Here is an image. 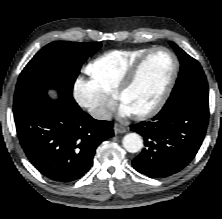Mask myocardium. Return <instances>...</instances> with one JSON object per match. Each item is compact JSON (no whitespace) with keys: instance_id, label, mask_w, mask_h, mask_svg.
I'll return each mask as SVG.
<instances>
[{"instance_id":"myocardium-1","label":"myocardium","mask_w":222,"mask_h":219,"mask_svg":"<svg viewBox=\"0 0 222 219\" xmlns=\"http://www.w3.org/2000/svg\"><path fill=\"white\" fill-rule=\"evenodd\" d=\"M167 52L173 60V66H172V71L170 74V77L168 79V82L160 96V98L157 100V102L150 107L149 109L140 112V113H136L133 114L134 117L138 120H144L150 117H153L154 115H156L165 105V103L167 102L168 98L170 97V94L174 88L177 76H178V72H179V60L177 55L170 49L167 47H163V46H159V47H154L149 49L148 51H146L145 53H143L140 57H138L133 64L129 67V69L126 71V73L123 75V77L121 78L115 92H114V97L118 102H121V99L123 97V95L132 87V85L134 84L137 75L143 65V63L146 61V59L151 56L152 54L156 53V52Z\"/></svg>"}]
</instances>
